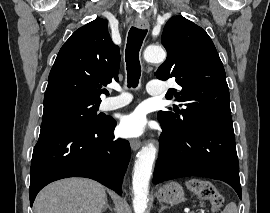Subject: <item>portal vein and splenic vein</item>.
I'll return each mask as SVG.
<instances>
[{"instance_id":"18ae733b","label":"portal vein and splenic vein","mask_w":270,"mask_h":213,"mask_svg":"<svg viewBox=\"0 0 270 213\" xmlns=\"http://www.w3.org/2000/svg\"><path fill=\"white\" fill-rule=\"evenodd\" d=\"M187 212H189V213H194L193 211H187Z\"/></svg>"}]
</instances>
